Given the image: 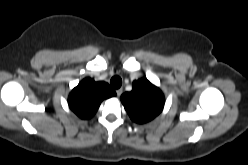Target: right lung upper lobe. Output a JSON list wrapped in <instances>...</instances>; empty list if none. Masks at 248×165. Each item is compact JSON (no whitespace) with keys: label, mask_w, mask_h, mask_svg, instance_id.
<instances>
[{"label":"right lung upper lobe","mask_w":248,"mask_h":165,"mask_svg":"<svg viewBox=\"0 0 248 165\" xmlns=\"http://www.w3.org/2000/svg\"><path fill=\"white\" fill-rule=\"evenodd\" d=\"M115 95V91L107 83L85 78L70 93L68 104L80 118L89 119L96 113L104 99Z\"/></svg>","instance_id":"obj_1"}]
</instances>
